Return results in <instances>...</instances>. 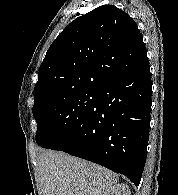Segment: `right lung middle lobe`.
Segmentation results:
<instances>
[{"label": "right lung middle lobe", "instance_id": "obj_1", "mask_svg": "<svg viewBox=\"0 0 178 195\" xmlns=\"http://www.w3.org/2000/svg\"><path fill=\"white\" fill-rule=\"evenodd\" d=\"M96 97V90H79L52 97L35 106L37 144L54 149L66 133L84 118Z\"/></svg>", "mask_w": 178, "mask_h": 195}]
</instances>
